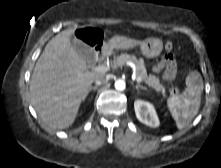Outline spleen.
<instances>
[{"instance_id": "obj_1", "label": "spleen", "mask_w": 221, "mask_h": 168, "mask_svg": "<svg viewBox=\"0 0 221 168\" xmlns=\"http://www.w3.org/2000/svg\"><path fill=\"white\" fill-rule=\"evenodd\" d=\"M186 90L168 99L167 106L178 129L185 128L197 115L201 103L203 80L196 70L186 77Z\"/></svg>"}]
</instances>
